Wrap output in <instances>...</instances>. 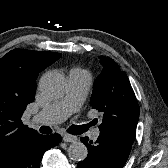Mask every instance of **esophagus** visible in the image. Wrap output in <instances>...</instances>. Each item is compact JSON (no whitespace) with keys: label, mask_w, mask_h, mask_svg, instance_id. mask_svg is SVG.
Masks as SVG:
<instances>
[{"label":"esophagus","mask_w":168,"mask_h":168,"mask_svg":"<svg viewBox=\"0 0 168 168\" xmlns=\"http://www.w3.org/2000/svg\"><path fill=\"white\" fill-rule=\"evenodd\" d=\"M63 140L65 142H75V141H77V136L70 135V134H64L63 135Z\"/></svg>","instance_id":"34e87169"}]
</instances>
